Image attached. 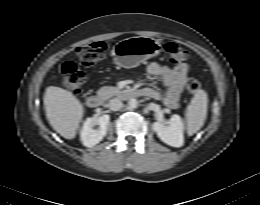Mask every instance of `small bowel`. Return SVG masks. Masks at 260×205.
<instances>
[{
    "mask_svg": "<svg viewBox=\"0 0 260 205\" xmlns=\"http://www.w3.org/2000/svg\"><path fill=\"white\" fill-rule=\"evenodd\" d=\"M187 64L182 63L174 67L151 62L147 66V73L150 77L158 78L165 87L161 93L154 88L144 87L140 89L143 96L162 101L167 107L175 109L179 106L181 96L188 81Z\"/></svg>",
    "mask_w": 260,
    "mask_h": 205,
    "instance_id": "1",
    "label": "small bowel"
}]
</instances>
